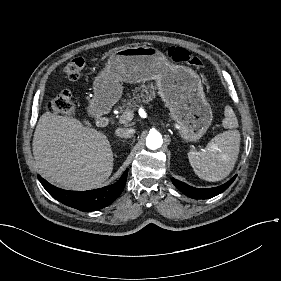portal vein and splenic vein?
Masks as SVG:
<instances>
[{
    "mask_svg": "<svg viewBox=\"0 0 281 281\" xmlns=\"http://www.w3.org/2000/svg\"><path fill=\"white\" fill-rule=\"evenodd\" d=\"M134 112H135V109L134 108H131L130 110H129V112L127 113V115H126V118L124 119V122L125 123H128L129 122V119L131 118V116L134 114ZM123 122V121H122ZM119 124H120V122H119ZM118 125V124H117Z\"/></svg>",
    "mask_w": 281,
    "mask_h": 281,
    "instance_id": "1",
    "label": "portal vein and splenic vein"
}]
</instances>
